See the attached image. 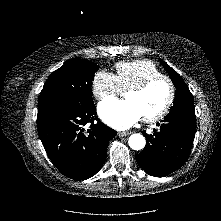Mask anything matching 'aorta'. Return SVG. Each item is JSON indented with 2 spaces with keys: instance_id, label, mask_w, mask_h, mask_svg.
<instances>
[{
  "instance_id": "1",
  "label": "aorta",
  "mask_w": 221,
  "mask_h": 221,
  "mask_svg": "<svg viewBox=\"0 0 221 221\" xmlns=\"http://www.w3.org/2000/svg\"><path fill=\"white\" fill-rule=\"evenodd\" d=\"M128 144L133 150H141L145 147L146 140L142 134L135 133L129 137Z\"/></svg>"
}]
</instances>
